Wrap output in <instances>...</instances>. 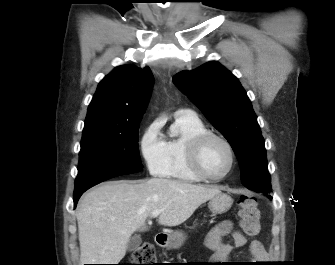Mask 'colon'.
I'll return each mask as SVG.
<instances>
[{
    "label": "colon",
    "instance_id": "5ec220e1",
    "mask_svg": "<svg viewBox=\"0 0 335 265\" xmlns=\"http://www.w3.org/2000/svg\"><path fill=\"white\" fill-rule=\"evenodd\" d=\"M239 218L241 226L247 235H256L260 230V211L254 197L242 195L239 199ZM156 255L152 244L144 243L138 247L130 258V264L154 265Z\"/></svg>",
    "mask_w": 335,
    "mask_h": 265
}]
</instances>
